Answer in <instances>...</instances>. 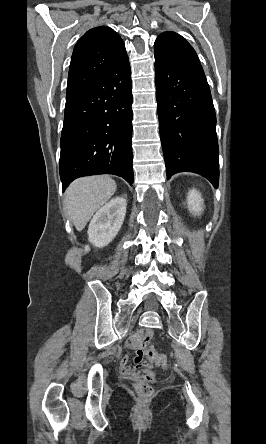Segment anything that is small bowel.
<instances>
[{
    "label": "small bowel",
    "instance_id": "small-bowel-1",
    "mask_svg": "<svg viewBox=\"0 0 266 444\" xmlns=\"http://www.w3.org/2000/svg\"><path fill=\"white\" fill-rule=\"evenodd\" d=\"M151 332L148 331L145 335L134 336L128 342V346L133 349V355H126L122 358L120 363L121 373L131 379L138 381L150 382L154 379L153 365L143 364L142 347L148 342ZM133 363V365L131 364Z\"/></svg>",
    "mask_w": 266,
    "mask_h": 444
}]
</instances>
